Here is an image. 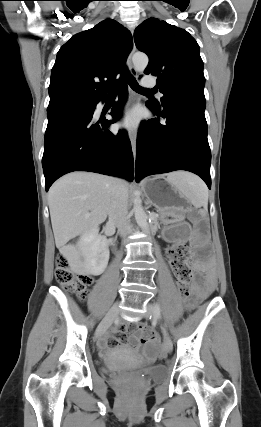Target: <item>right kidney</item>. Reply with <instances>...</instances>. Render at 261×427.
<instances>
[{"mask_svg": "<svg viewBox=\"0 0 261 427\" xmlns=\"http://www.w3.org/2000/svg\"><path fill=\"white\" fill-rule=\"evenodd\" d=\"M79 248L84 259V271L92 275L102 274L109 261L108 241L99 234V228L84 232L79 238Z\"/></svg>", "mask_w": 261, "mask_h": 427, "instance_id": "ca27d5eb", "label": "right kidney"}]
</instances>
